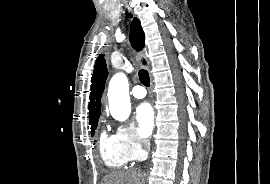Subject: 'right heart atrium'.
<instances>
[{"label":"right heart atrium","mask_w":270,"mask_h":184,"mask_svg":"<svg viewBox=\"0 0 270 184\" xmlns=\"http://www.w3.org/2000/svg\"><path fill=\"white\" fill-rule=\"evenodd\" d=\"M115 136L131 161L139 160L145 155L148 141L132 125H119Z\"/></svg>","instance_id":"1"}]
</instances>
